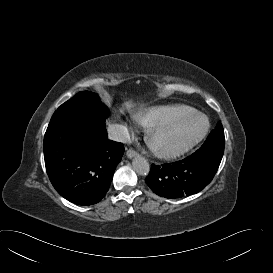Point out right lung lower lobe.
<instances>
[{"label":"right lung lower lobe","mask_w":273,"mask_h":273,"mask_svg":"<svg viewBox=\"0 0 273 273\" xmlns=\"http://www.w3.org/2000/svg\"><path fill=\"white\" fill-rule=\"evenodd\" d=\"M124 154L108 139L105 121L76 114H53L44 137L46 171L56 191L79 205L105 196Z\"/></svg>","instance_id":"obj_1"}]
</instances>
